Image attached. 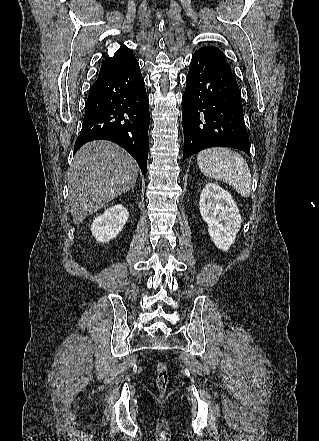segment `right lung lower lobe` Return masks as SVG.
<instances>
[{"label":"right lung lower lobe","instance_id":"obj_1","mask_svg":"<svg viewBox=\"0 0 319 441\" xmlns=\"http://www.w3.org/2000/svg\"><path fill=\"white\" fill-rule=\"evenodd\" d=\"M149 100L139 64L96 80L87 98L74 153L85 143L104 139L127 150L146 175L150 124Z\"/></svg>","mask_w":319,"mask_h":441}]
</instances>
